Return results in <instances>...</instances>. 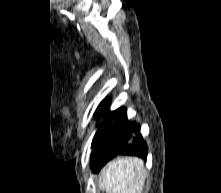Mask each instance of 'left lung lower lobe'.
Wrapping results in <instances>:
<instances>
[{
	"label": "left lung lower lobe",
	"instance_id": "0a47b994",
	"mask_svg": "<svg viewBox=\"0 0 221 193\" xmlns=\"http://www.w3.org/2000/svg\"><path fill=\"white\" fill-rule=\"evenodd\" d=\"M108 126L92 149L90 167L98 173L110 160L119 155L147 158L148 148L136 122L128 121L124 107L108 115Z\"/></svg>",
	"mask_w": 221,
	"mask_h": 193
}]
</instances>
